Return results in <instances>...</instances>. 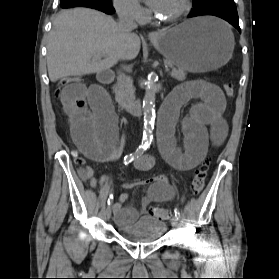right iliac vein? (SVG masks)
I'll list each match as a JSON object with an SVG mask.
<instances>
[{"instance_id":"1","label":"right iliac vein","mask_w":279,"mask_h":279,"mask_svg":"<svg viewBox=\"0 0 279 279\" xmlns=\"http://www.w3.org/2000/svg\"><path fill=\"white\" fill-rule=\"evenodd\" d=\"M111 214H112L111 206H108V207L106 208V212H105V216H106V219H107V220L110 219Z\"/></svg>"}]
</instances>
